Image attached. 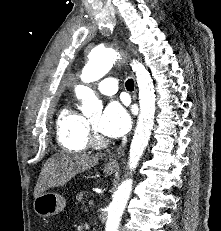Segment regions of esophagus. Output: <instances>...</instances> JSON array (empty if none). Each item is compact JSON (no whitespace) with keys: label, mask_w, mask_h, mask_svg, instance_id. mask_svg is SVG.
Here are the masks:
<instances>
[{"label":"esophagus","mask_w":221,"mask_h":231,"mask_svg":"<svg viewBox=\"0 0 221 231\" xmlns=\"http://www.w3.org/2000/svg\"><path fill=\"white\" fill-rule=\"evenodd\" d=\"M109 166L115 167L117 166V162L115 160H112L108 163Z\"/></svg>","instance_id":"34e87169"}]
</instances>
